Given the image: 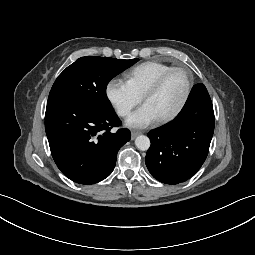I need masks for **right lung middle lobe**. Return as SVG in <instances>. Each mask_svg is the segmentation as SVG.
Returning <instances> with one entry per match:
<instances>
[{
  "instance_id": "right-lung-middle-lobe-1",
  "label": "right lung middle lobe",
  "mask_w": 255,
  "mask_h": 255,
  "mask_svg": "<svg viewBox=\"0 0 255 255\" xmlns=\"http://www.w3.org/2000/svg\"><path fill=\"white\" fill-rule=\"evenodd\" d=\"M138 60L81 57L58 76L48 100L71 99L86 103L101 112H113L106 95L107 85L111 79Z\"/></svg>"
}]
</instances>
